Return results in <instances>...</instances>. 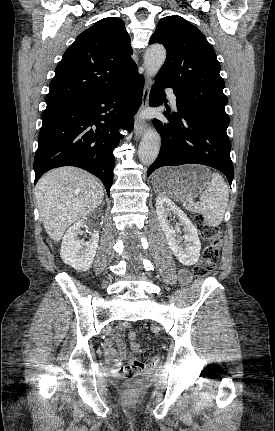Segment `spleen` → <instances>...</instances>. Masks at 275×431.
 Returning a JSON list of instances; mask_svg holds the SVG:
<instances>
[{"label": "spleen", "instance_id": "3e777b00", "mask_svg": "<svg viewBox=\"0 0 275 431\" xmlns=\"http://www.w3.org/2000/svg\"><path fill=\"white\" fill-rule=\"evenodd\" d=\"M199 199L200 202L188 203L187 209L201 213L210 226H218L223 220L229 200L228 186L220 174H212L211 182Z\"/></svg>", "mask_w": 275, "mask_h": 431}]
</instances>
